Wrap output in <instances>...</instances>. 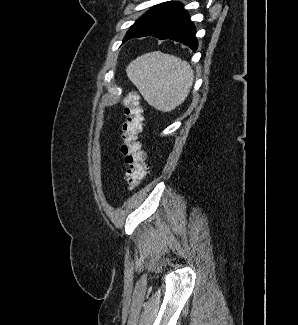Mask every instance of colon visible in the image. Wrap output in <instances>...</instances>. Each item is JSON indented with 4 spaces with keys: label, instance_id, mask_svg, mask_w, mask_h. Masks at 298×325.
Listing matches in <instances>:
<instances>
[{
    "label": "colon",
    "instance_id": "5ec220e1",
    "mask_svg": "<svg viewBox=\"0 0 298 325\" xmlns=\"http://www.w3.org/2000/svg\"><path fill=\"white\" fill-rule=\"evenodd\" d=\"M124 122L121 127V153L125 157V180L129 190L135 189L147 176L146 152L139 141L143 129L144 117L140 98L129 93L122 100Z\"/></svg>",
    "mask_w": 298,
    "mask_h": 325
}]
</instances>
